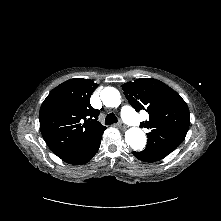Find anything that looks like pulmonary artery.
Segmentation results:
<instances>
[{
  "mask_svg": "<svg viewBox=\"0 0 221 221\" xmlns=\"http://www.w3.org/2000/svg\"><path fill=\"white\" fill-rule=\"evenodd\" d=\"M121 113L124 120L131 125H138L142 121V119L132 110V108L127 105L122 107Z\"/></svg>",
  "mask_w": 221,
  "mask_h": 221,
  "instance_id": "e3ab8cb5",
  "label": "pulmonary artery"
}]
</instances>
